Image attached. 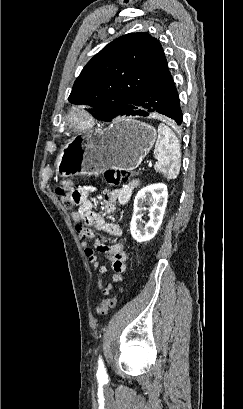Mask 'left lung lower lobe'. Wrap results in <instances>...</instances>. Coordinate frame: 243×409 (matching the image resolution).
I'll use <instances>...</instances> for the list:
<instances>
[{
  "instance_id": "obj_1",
  "label": "left lung lower lobe",
  "mask_w": 243,
  "mask_h": 409,
  "mask_svg": "<svg viewBox=\"0 0 243 409\" xmlns=\"http://www.w3.org/2000/svg\"><path fill=\"white\" fill-rule=\"evenodd\" d=\"M158 112L171 119L178 125L182 123L179 96L170 72L156 84L146 90L132 105L113 115L103 117L101 120L111 121L120 115L149 116Z\"/></svg>"
}]
</instances>
